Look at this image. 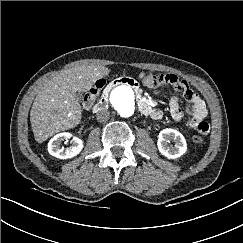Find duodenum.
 <instances>
[{
	"mask_svg": "<svg viewBox=\"0 0 243 243\" xmlns=\"http://www.w3.org/2000/svg\"><path fill=\"white\" fill-rule=\"evenodd\" d=\"M119 84H125V85H128L131 88H133L135 90L136 101H137L140 111L145 115H151V116L153 115L154 109L150 106V104L147 102V100L136 91V85L134 84V82L132 80L126 79V78L116 80L112 84H110V86L104 91L100 100L95 104V106H94L95 112H99L108 106L109 91L113 86L119 85Z\"/></svg>",
	"mask_w": 243,
	"mask_h": 243,
	"instance_id": "1",
	"label": "duodenum"
}]
</instances>
